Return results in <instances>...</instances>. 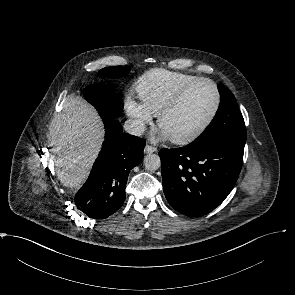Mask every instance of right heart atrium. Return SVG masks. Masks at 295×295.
Listing matches in <instances>:
<instances>
[{
    "instance_id": "obj_1",
    "label": "right heart atrium",
    "mask_w": 295,
    "mask_h": 295,
    "mask_svg": "<svg viewBox=\"0 0 295 295\" xmlns=\"http://www.w3.org/2000/svg\"><path fill=\"white\" fill-rule=\"evenodd\" d=\"M126 112L133 119L134 129L137 134L143 133L154 118V114L143 102L132 97H128L126 100Z\"/></svg>"
}]
</instances>
